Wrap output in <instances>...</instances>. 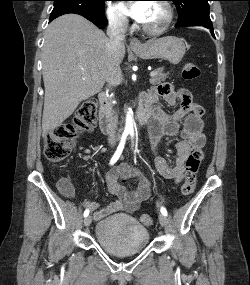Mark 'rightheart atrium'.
Instances as JSON below:
<instances>
[{
  "label": "right heart atrium",
  "mask_w": 250,
  "mask_h": 285,
  "mask_svg": "<svg viewBox=\"0 0 250 285\" xmlns=\"http://www.w3.org/2000/svg\"><path fill=\"white\" fill-rule=\"evenodd\" d=\"M106 14L109 23L113 27L123 29L127 26L128 19L121 4L116 2L109 3Z\"/></svg>",
  "instance_id": "right-heart-atrium-1"
}]
</instances>
